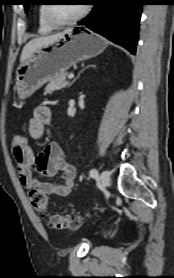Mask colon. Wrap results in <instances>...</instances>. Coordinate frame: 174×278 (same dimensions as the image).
<instances>
[{
	"instance_id": "5ec220e1",
	"label": "colon",
	"mask_w": 174,
	"mask_h": 278,
	"mask_svg": "<svg viewBox=\"0 0 174 278\" xmlns=\"http://www.w3.org/2000/svg\"><path fill=\"white\" fill-rule=\"evenodd\" d=\"M28 143V139L22 135H14L13 145L17 147L24 146ZM29 200L34 210L45 217L48 216V200L46 194L38 190H32L29 193ZM77 218L64 215H50L48 225L53 229H67L73 227L77 223Z\"/></svg>"
}]
</instances>
